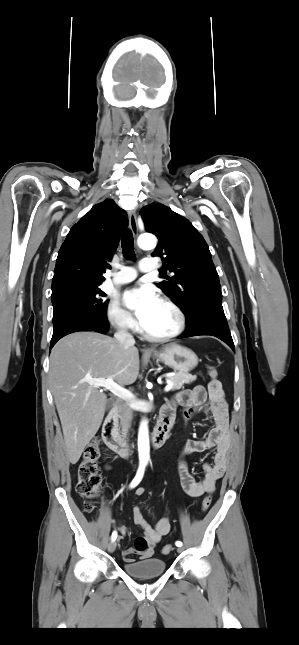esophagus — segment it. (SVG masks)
Returning <instances> with one entry per match:
<instances>
[{
    "label": "esophagus",
    "mask_w": 299,
    "mask_h": 645,
    "mask_svg": "<svg viewBox=\"0 0 299 645\" xmlns=\"http://www.w3.org/2000/svg\"><path fill=\"white\" fill-rule=\"evenodd\" d=\"M129 227L133 235L136 237L138 235V226H137L136 214L134 211H131L129 213ZM146 352H149V350H147Z\"/></svg>",
    "instance_id": "esophagus-1"
}]
</instances>
